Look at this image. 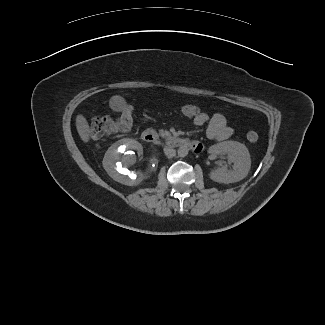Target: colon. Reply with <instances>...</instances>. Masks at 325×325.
<instances>
[{"instance_id":"obj_1","label":"colon","mask_w":325,"mask_h":325,"mask_svg":"<svg viewBox=\"0 0 325 325\" xmlns=\"http://www.w3.org/2000/svg\"><path fill=\"white\" fill-rule=\"evenodd\" d=\"M178 112L192 120L201 117L205 114L202 107L195 104H184L178 107ZM133 124V109L126 105L122 108L117 119L110 116L94 117L90 124V135L94 141L102 140L106 137L117 133H125L131 130ZM258 133L256 131H249L247 139L250 142L258 140Z\"/></svg>"}]
</instances>
